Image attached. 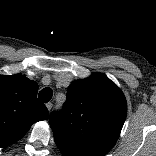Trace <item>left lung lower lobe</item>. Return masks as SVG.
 <instances>
[{
  "instance_id": "obj_1",
  "label": "left lung lower lobe",
  "mask_w": 156,
  "mask_h": 156,
  "mask_svg": "<svg viewBox=\"0 0 156 156\" xmlns=\"http://www.w3.org/2000/svg\"><path fill=\"white\" fill-rule=\"evenodd\" d=\"M55 143L64 156H90L84 152H80L71 147H68L67 145H65L64 143H62L56 139H55Z\"/></svg>"
}]
</instances>
